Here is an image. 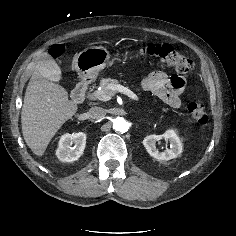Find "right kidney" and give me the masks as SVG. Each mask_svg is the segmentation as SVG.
<instances>
[{"label": "right kidney", "mask_w": 236, "mask_h": 236, "mask_svg": "<svg viewBox=\"0 0 236 236\" xmlns=\"http://www.w3.org/2000/svg\"><path fill=\"white\" fill-rule=\"evenodd\" d=\"M72 144L74 146L72 147ZM86 145V134H64L61 136L56 150V156L62 162H73L80 158Z\"/></svg>", "instance_id": "1"}]
</instances>
